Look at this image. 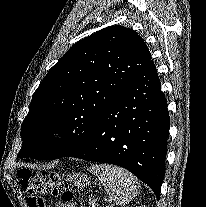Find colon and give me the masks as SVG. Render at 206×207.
Wrapping results in <instances>:
<instances>
[{
  "mask_svg": "<svg viewBox=\"0 0 206 207\" xmlns=\"http://www.w3.org/2000/svg\"><path fill=\"white\" fill-rule=\"evenodd\" d=\"M18 177L21 187L29 195L30 207H46L45 197H60L65 203L74 199V192L55 172H34L22 168Z\"/></svg>",
  "mask_w": 206,
  "mask_h": 207,
  "instance_id": "1",
  "label": "colon"
}]
</instances>
